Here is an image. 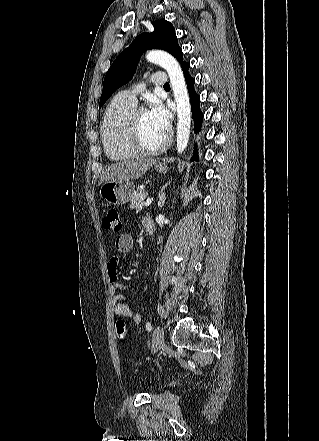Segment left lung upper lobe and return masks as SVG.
<instances>
[{"instance_id": "5c2ea615", "label": "left lung upper lobe", "mask_w": 319, "mask_h": 441, "mask_svg": "<svg viewBox=\"0 0 319 441\" xmlns=\"http://www.w3.org/2000/svg\"><path fill=\"white\" fill-rule=\"evenodd\" d=\"M153 26L154 32L138 35L131 45L115 59L107 71L99 108L119 87L131 80L140 57L146 50L161 49L167 51L181 64L184 63L182 50L178 45L173 25L165 19H160L154 21Z\"/></svg>"}]
</instances>
